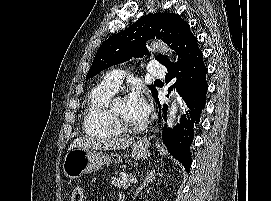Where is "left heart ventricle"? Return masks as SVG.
Here are the masks:
<instances>
[{"label": "left heart ventricle", "mask_w": 271, "mask_h": 201, "mask_svg": "<svg viewBox=\"0 0 271 201\" xmlns=\"http://www.w3.org/2000/svg\"><path fill=\"white\" fill-rule=\"evenodd\" d=\"M114 109L116 111V113L122 118L124 119L125 121L131 123V124H139L141 123L142 121L136 119L129 107H128V104L126 102V99H122L120 101H118L115 106H114Z\"/></svg>", "instance_id": "left-heart-ventricle-1"}]
</instances>
